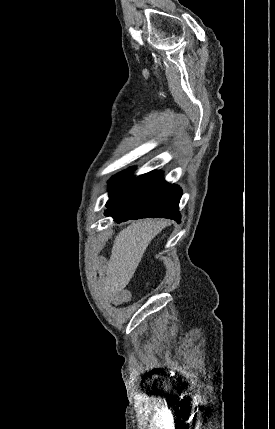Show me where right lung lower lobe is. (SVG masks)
<instances>
[{
    "label": "right lung lower lobe",
    "mask_w": 275,
    "mask_h": 429,
    "mask_svg": "<svg viewBox=\"0 0 275 429\" xmlns=\"http://www.w3.org/2000/svg\"><path fill=\"white\" fill-rule=\"evenodd\" d=\"M182 190L164 181L163 172L151 171L135 177L107 201L106 216L117 223L129 219L164 217L180 222L178 211Z\"/></svg>",
    "instance_id": "1"
}]
</instances>
